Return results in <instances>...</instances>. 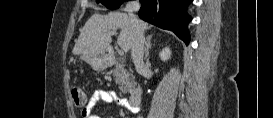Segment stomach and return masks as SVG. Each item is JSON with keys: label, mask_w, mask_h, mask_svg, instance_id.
Wrapping results in <instances>:
<instances>
[{"label": "stomach", "mask_w": 273, "mask_h": 118, "mask_svg": "<svg viewBox=\"0 0 273 118\" xmlns=\"http://www.w3.org/2000/svg\"><path fill=\"white\" fill-rule=\"evenodd\" d=\"M82 59L96 71H102L108 66V57L104 52L82 56Z\"/></svg>", "instance_id": "0dacf381"}]
</instances>
